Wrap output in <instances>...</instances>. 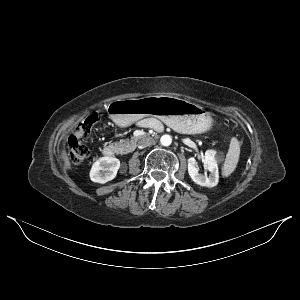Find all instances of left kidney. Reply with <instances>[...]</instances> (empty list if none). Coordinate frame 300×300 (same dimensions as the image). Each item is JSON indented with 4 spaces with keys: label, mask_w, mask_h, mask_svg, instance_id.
Returning <instances> with one entry per match:
<instances>
[{
    "label": "left kidney",
    "mask_w": 300,
    "mask_h": 300,
    "mask_svg": "<svg viewBox=\"0 0 300 300\" xmlns=\"http://www.w3.org/2000/svg\"><path fill=\"white\" fill-rule=\"evenodd\" d=\"M217 159H219L216 151L207 150L203 156L204 168L210 172L209 175L199 173L198 164L195 158L188 159V173L191 179L198 185L204 187H214L219 181V172Z\"/></svg>",
    "instance_id": "5707ae66"
}]
</instances>
